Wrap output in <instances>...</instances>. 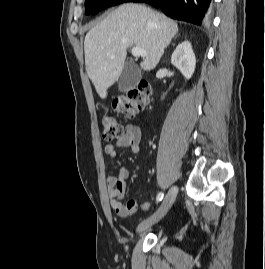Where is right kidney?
<instances>
[{"label": "right kidney", "mask_w": 265, "mask_h": 269, "mask_svg": "<svg viewBox=\"0 0 265 269\" xmlns=\"http://www.w3.org/2000/svg\"><path fill=\"white\" fill-rule=\"evenodd\" d=\"M171 63L180 70L186 79L192 77L196 58L189 41H184L176 47L171 56Z\"/></svg>", "instance_id": "1"}]
</instances>
